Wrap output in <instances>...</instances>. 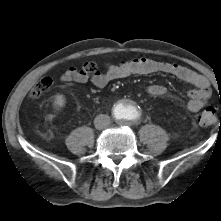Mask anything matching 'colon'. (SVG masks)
I'll return each mask as SVG.
<instances>
[{
	"mask_svg": "<svg viewBox=\"0 0 221 221\" xmlns=\"http://www.w3.org/2000/svg\"><path fill=\"white\" fill-rule=\"evenodd\" d=\"M83 70L86 73H95L98 70V66L94 62H87L83 65ZM53 86V79L49 76H44L34 85L30 91V96L33 98L40 97L46 93ZM198 122L201 126L210 127L217 122V112L213 107H206L199 115Z\"/></svg>",
	"mask_w": 221,
	"mask_h": 221,
	"instance_id": "5ec220e1",
	"label": "colon"
}]
</instances>
